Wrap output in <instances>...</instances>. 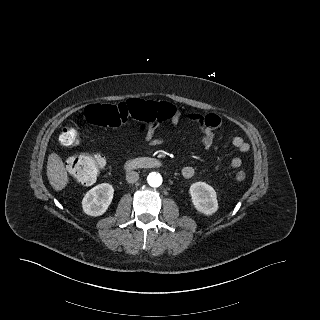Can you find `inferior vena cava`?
Returning <instances> with one entry per match:
<instances>
[{
	"instance_id": "inferior-vena-cava-1",
	"label": "inferior vena cava",
	"mask_w": 320,
	"mask_h": 320,
	"mask_svg": "<svg viewBox=\"0 0 320 320\" xmlns=\"http://www.w3.org/2000/svg\"><path fill=\"white\" fill-rule=\"evenodd\" d=\"M139 179V174L136 171H128L126 174V180L128 183H135Z\"/></svg>"
}]
</instances>
